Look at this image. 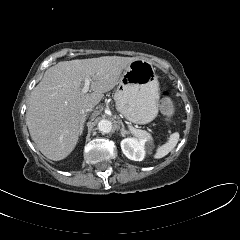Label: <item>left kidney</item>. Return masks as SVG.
<instances>
[{
  "mask_svg": "<svg viewBox=\"0 0 240 240\" xmlns=\"http://www.w3.org/2000/svg\"><path fill=\"white\" fill-rule=\"evenodd\" d=\"M146 140L135 138H125L121 141V149L124 155L134 161H142L145 157Z\"/></svg>",
  "mask_w": 240,
  "mask_h": 240,
  "instance_id": "obj_1",
  "label": "left kidney"
}]
</instances>
